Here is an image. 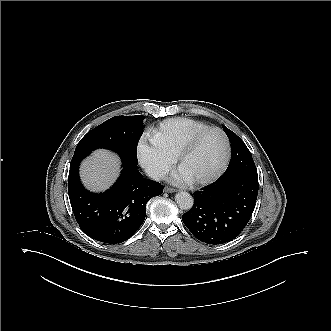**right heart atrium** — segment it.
<instances>
[{
	"label": "right heart atrium",
	"instance_id": "obj_1",
	"mask_svg": "<svg viewBox=\"0 0 331 331\" xmlns=\"http://www.w3.org/2000/svg\"><path fill=\"white\" fill-rule=\"evenodd\" d=\"M137 157L140 165L155 179L166 176L174 164V155L157 149L153 142H149L145 137L138 144Z\"/></svg>",
	"mask_w": 331,
	"mask_h": 331
}]
</instances>
